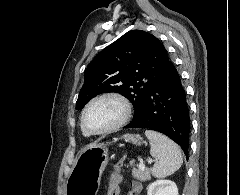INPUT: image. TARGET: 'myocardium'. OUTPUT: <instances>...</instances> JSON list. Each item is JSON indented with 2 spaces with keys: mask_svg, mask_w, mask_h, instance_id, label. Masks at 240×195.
<instances>
[{
  "mask_svg": "<svg viewBox=\"0 0 240 195\" xmlns=\"http://www.w3.org/2000/svg\"><path fill=\"white\" fill-rule=\"evenodd\" d=\"M104 101H114V102L118 103L121 108L120 116L114 123H112L111 125H109L105 128H102L97 131H89L85 125L86 114L94 105L104 102ZM131 114H132L131 103L126 96H124L118 92H106V93H103V94H100V95L94 97L85 106V108L83 109V112H82V116H81V127H82L83 132L89 136L107 134V133L115 131V130L121 128L122 126H124L127 123V121L129 120Z\"/></svg>",
  "mask_w": 240,
  "mask_h": 195,
  "instance_id": "1",
  "label": "myocardium"
}]
</instances>
